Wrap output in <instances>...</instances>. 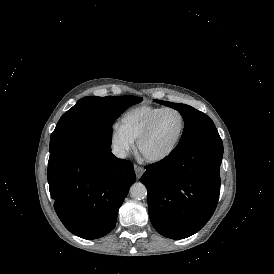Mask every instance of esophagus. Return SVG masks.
I'll return each instance as SVG.
<instances>
[{
  "mask_svg": "<svg viewBox=\"0 0 274 274\" xmlns=\"http://www.w3.org/2000/svg\"><path fill=\"white\" fill-rule=\"evenodd\" d=\"M134 170L137 178H140L145 172V169L139 165H134Z\"/></svg>",
  "mask_w": 274,
  "mask_h": 274,
  "instance_id": "34e87169",
  "label": "esophagus"
}]
</instances>
